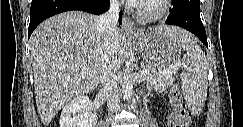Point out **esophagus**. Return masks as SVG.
<instances>
[{"mask_svg":"<svg viewBox=\"0 0 243 127\" xmlns=\"http://www.w3.org/2000/svg\"><path fill=\"white\" fill-rule=\"evenodd\" d=\"M123 31L128 35H133L136 32L133 22L126 17L123 18Z\"/></svg>","mask_w":243,"mask_h":127,"instance_id":"obj_1","label":"esophagus"}]
</instances>
